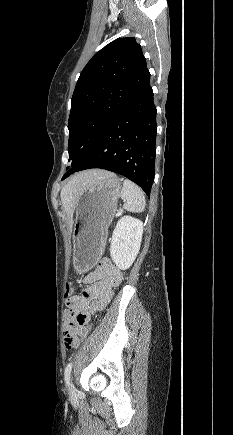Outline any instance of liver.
<instances>
[{
	"label": "liver",
	"mask_w": 233,
	"mask_h": 435,
	"mask_svg": "<svg viewBox=\"0 0 233 435\" xmlns=\"http://www.w3.org/2000/svg\"><path fill=\"white\" fill-rule=\"evenodd\" d=\"M108 174L109 172L105 170H87L79 172L72 176L62 188L60 195L62 208L68 215L70 229L73 223V213L81 195L88 187L97 183Z\"/></svg>",
	"instance_id": "liver-1"
}]
</instances>
